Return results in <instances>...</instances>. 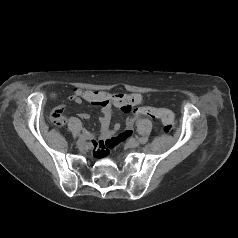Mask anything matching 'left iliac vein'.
I'll use <instances>...</instances> for the list:
<instances>
[{
  "instance_id": "obj_1",
  "label": "left iliac vein",
  "mask_w": 238,
  "mask_h": 238,
  "mask_svg": "<svg viewBox=\"0 0 238 238\" xmlns=\"http://www.w3.org/2000/svg\"><path fill=\"white\" fill-rule=\"evenodd\" d=\"M138 145H139V142L136 139H133V138L130 139L126 144V146L128 148H136Z\"/></svg>"
}]
</instances>
